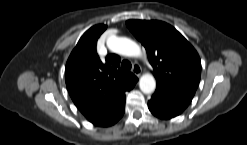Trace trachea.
Here are the masks:
<instances>
[{
    "mask_svg": "<svg viewBox=\"0 0 247 145\" xmlns=\"http://www.w3.org/2000/svg\"><path fill=\"white\" fill-rule=\"evenodd\" d=\"M132 65L131 63L128 61V60H123L122 63H121V68L124 70V71H129L131 69Z\"/></svg>",
    "mask_w": 247,
    "mask_h": 145,
    "instance_id": "3493384b",
    "label": "trachea"
}]
</instances>
